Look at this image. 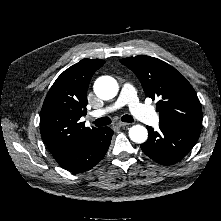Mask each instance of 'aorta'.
<instances>
[{
	"label": "aorta",
	"instance_id": "762f6f07",
	"mask_svg": "<svg viewBox=\"0 0 221 221\" xmlns=\"http://www.w3.org/2000/svg\"><path fill=\"white\" fill-rule=\"evenodd\" d=\"M94 92L102 100L114 98L118 93V83L110 76H102L94 83ZM129 137L133 142L144 143L148 138V131L144 126L134 125L129 129Z\"/></svg>",
	"mask_w": 221,
	"mask_h": 221
}]
</instances>
